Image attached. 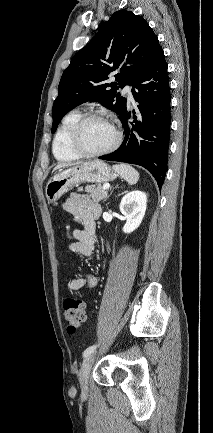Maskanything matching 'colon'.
Here are the masks:
<instances>
[{
	"label": "colon",
	"mask_w": 213,
	"mask_h": 433,
	"mask_svg": "<svg viewBox=\"0 0 213 433\" xmlns=\"http://www.w3.org/2000/svg\"><path fill=\"white\" fill-rule=\"evenodd\" d=\"M63 308L67 330L73 333L86 322L85 304L80 298L69 296L64 300Z\"/></svg>",
	"instance_id": "5ec220e1"
}]
</instances>
